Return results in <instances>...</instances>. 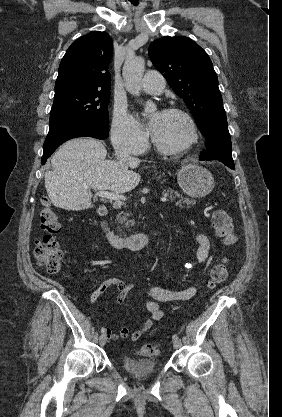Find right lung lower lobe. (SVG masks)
<instances>
[{
    "label": "right lung lower lobe",
    "instance_id": "98d812e1",
    "mask_svg": "<svg viewBox=\"0 0 282 417\" xmlns=\"http://www.w3.org/2000/svg\"><path fill=\"white\" fill-rule=\"evenodd\" d=\"M108 136V132L82 120L69 121L50 127L49 133L44 142V152L41 161L44 164L46 159L50 157L55 149L69 139L76 137L106 139Z\"/></svg>",
    "mask_w": 282,
    "mask_h": 417
}]
</instances>
